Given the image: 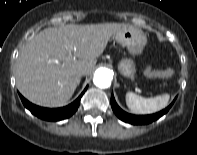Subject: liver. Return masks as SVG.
I'll list each match as a JSON object with an SVG mask.
<instances>
[{
    "label": "liver",
    "instance_id": "obj_1",
    "mask_svg": "<svg viewBox=\"0 0 197 155\" xmlns=\"http://www.w3.org/2000/svg\"><path fill=\"white\" fill-rule=\"evenodd\" d=\"M126 25L105 23L46 28L20 51L16 85L30 102L43 107L64 105L80 83L78 72L91 74L109 39ZM72 46L69 50L67 47Z\"/></svg>",
    "mask_w": 197,
    "mask_h": 155
}]
</instances>
